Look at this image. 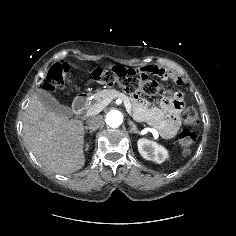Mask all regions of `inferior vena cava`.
Masks as SVG:
<instances>
[{
	"label": "inferior vena cava",
	"mask_w": 236,
	"mask_h": 236,
	"mask_svg": "<svg viewBox=\"0 0 236 236\" xmlns=\"http://www.w3.org/2000/svg\"><path fill=\"white\" fill-rule=\"evenodd\" d=\"M103 117L101 115L93 116L87 119V125L91 128H98L102 123Z\"/></svg>",
	"instance_id": "obj_1"
}]
</instances>
